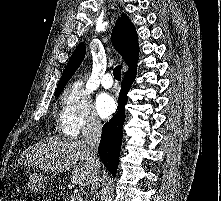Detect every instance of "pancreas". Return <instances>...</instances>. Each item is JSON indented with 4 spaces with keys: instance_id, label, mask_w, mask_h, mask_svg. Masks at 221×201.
<instances>
[{
    "instance_id": "1",
    "label": "pancreas",
    "mask_w": 221,
    "mask_h": 201,
    "mask_svg": "<svg viewBox=\"0 0 221 201\" xmlns=\"http://www.w3.org/2000/svg\"><path fill=\"white\" fill-rule=\"evenodd\" d=\"M65 201H70V198H68L67 200H65ZM82 201V200H81Z\"/></svg>"
}]
</instances>
